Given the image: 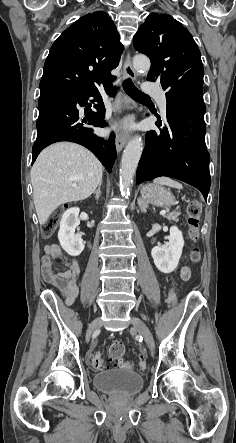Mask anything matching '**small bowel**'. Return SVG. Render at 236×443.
<instances>
[{
    "label": "small bowel",
    "mask_w": 236,
    "mask_h": 443,
    "mask_svg": "<svg viewBox=\"0 0 236 443\" xmlns=\"http://www.w3.org/2000/svg\"><path fill=\"white\" fill-rule=\"evenodd\" d=\"M53 261L60 262L65 270L54 271ZM42 273L45 281L64 297L66 304L70 305L78 294L80 269L77 261L67 257L56 245L46 246L42 258ZM190 275L189 267H181L179 272L181 280H188Z\"/></svg>",
    "instance_id": "small-bowel-1"
}]
</instances>
